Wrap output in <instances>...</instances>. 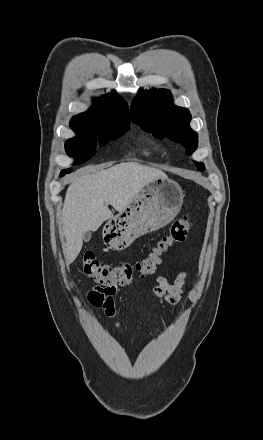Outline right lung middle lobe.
<instances>
[{"label":"right lung middle lobe","instance_id":"dd1d6c3e","mask_svg":"<svg viewBox=\"0 0 263 440\" xmlns=\"http://www.w3.org/2000/svg\"><path fill=\"white\" fill-rule=\"evenodd\" d=\"M130 120L127 117H106L91 121L85 127L72 128L80 139H69L65 143L68 155L76 158V164L84 163L95 154L97 135L100 145L119 138L129 130ZM71 169L63 170L60 176L70 173Z\"/></svg>","mask_w":263,"mask_h":440}]
</instances>
